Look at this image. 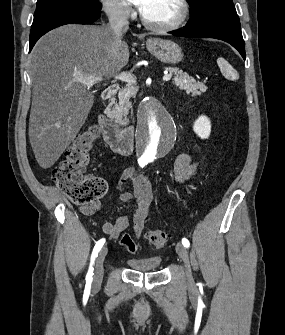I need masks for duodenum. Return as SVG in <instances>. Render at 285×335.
Returning a JSON list of instances; mask_svg holds the SVG:
<instances>
[{"instance_id": "obj_1", "label": "duodenum", "mask_w": 285, "mask_h": 335, "mask_svg": "<svg viewBox=\"0 0 285 335\" xmlns=\"http://www.w3.org/2000/svg\"><path fill=\"white\" fill-rule=\"evenodd\" d=\"M119 86L113 84L103 93L106 108L98 116V125L104 141L112 151L120 155H130L134 149V128L120 126L111 115V100L117 94Z\"/></svg>"}]
</instances>
